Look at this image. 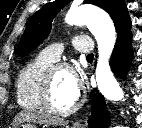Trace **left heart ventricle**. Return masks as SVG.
Listing matches in <instances>:
<instances>
[{
  "label": "left heart ventricle",
  "mask_w": 142,
  "mask_h": 128,
  "mask_svg": "<svg viewBox=\"0 0 142 128\" xmlns=\"http://www.w3.org/2000/svg\"><path fill=\"white\" fill-rule=\"evenodd\" d=\"M78 90L73 86L69 78V71L57 70L53 77L52 99L59 109L70 107L76 100Z\"/></svg>",
  "instance_id": "left-heart-ventricle-1"
}]
</instances>
